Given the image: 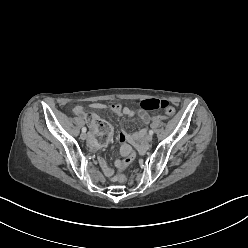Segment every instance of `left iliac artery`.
Returning <instances> with one entry per match:
<instances>
[{"label":"left iliac artery","instance_id":"1","mask_svg":"<svg viewBox=\"0 0 248 248\" xmlns=\"http://www.w3.org/2000/svg\"><path fill=\"white\" fill-rule=\"evenodd\" d=\"M149 134L150 135H153V130H149Z\"/></svg>","mask_w":248,"mask_h":248}]
</instances>
